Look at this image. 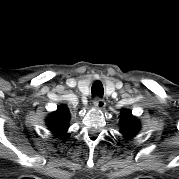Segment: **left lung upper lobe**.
Wrapping results in <instances>:
<instances>
[{"label":"left lung upper lobe","instance_id":"5c2ea615","mask_svg":"<svg viewBox=\"0 0 179 179\" xmlns=\"http://www.w3.org/2000/svg\"><path fill=\"white\" fill-rule=\"evenodd\" d=\"M121 133L123 136L130 138L136 135L140 129V123L136 117H134L130 111H124L121 114Z\"/></svg>","mask_w":179,"mask_h":179}]
</instances>
